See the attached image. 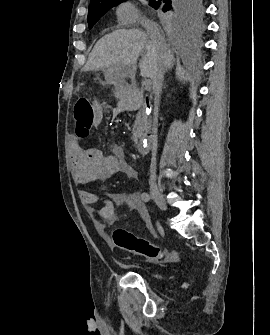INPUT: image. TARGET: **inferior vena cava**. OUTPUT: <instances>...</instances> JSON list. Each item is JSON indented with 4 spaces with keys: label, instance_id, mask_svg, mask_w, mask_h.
I'll use <instances>...</instances> for the list:
<instances>
[{
    "label": "inferior vena cava",
    "instance_id": "inferior-vena-cava-1",
    "mask_svg": "<svg viewBox=\"0 0 270 335\" xmlns=\"http://www.w3.org/2000/svg\"><path fill=\"white\" fill-rule=\"evenodd\" d=\"M141 24L142 26H144L146 34L147 36H149L151 40V44H154V46H158L160 42H163V36L162 34H160L161 30H159L155 22H152V20H142ZM163 76H164V68H162V70H156L155 74H153L151 78L153 82V92L155 96L154 106H159L160 94L163 84ZM157 126H158L157 122H153L152 136H150L152 158L150 164L149 183H151V185H156Z\"/></svg>",
    "mask_w": 270,
    "mask_h": 335
}]
</instances>
